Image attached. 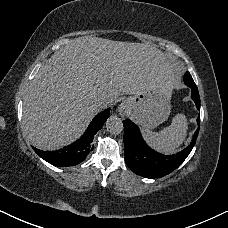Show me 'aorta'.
Returning <instances> with one entry per match:
<instances>
[{
    "label": "aorta",
    "mask_w": 228,
    "mask_h": 228,
    "mask_svg": "<svg viewBox=\"0 0 228 228\" xmlns=\"http://www.w3.org/2000/svg\"><path fill=\"white\" fill-rule=\"evenodd\" d=\"M106 128L111 134L118 135L123 131L122 120L117 116H110L106 121Z\"/></svg>",
    "instance_id": "aorta-1"
}]
</instances>
